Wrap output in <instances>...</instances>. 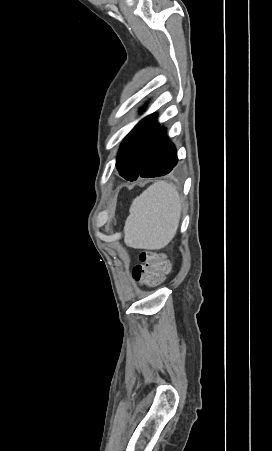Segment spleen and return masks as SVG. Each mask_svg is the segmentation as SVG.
<instances>
[{
    "label": "spleen",
    "mask_w": 272,
    "mask_h": 451,
    "mask_svg": "<svg viewBox=\"0 0 272 451\" xmlns=\"http://www.w3.org/2000/svg\"><path fill=\"white\" fill-rule=\"evenodd\" d=\"M124 227V241L136 249H161L173 239L181 218L173 184L158 180L135 198Z\"/></svg>",
    "instance_id": "spleen-1"
}]
</instances>
